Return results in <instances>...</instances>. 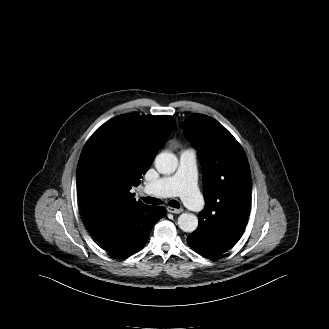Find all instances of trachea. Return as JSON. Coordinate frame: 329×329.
<instances>
[{
	"label": "trachea",
	"mask_w": 329,
	"mask_h": 329,
	"mask_svg": "<svg viewBox=\"0 0 329 329\" xmlns=\"http://www.w3.org/2000/svg\"><path fill=\"white\" fill-rule=\"evenodd\" d=\"M142 200L145 202V203H148V204H155V205H159V204H162V201L159 200V199H156V198H153V197H143ZM169 205L173 208H179L180 207V204L178 201L176 200H171L169 202Z\"/></svg>",
	"instance_id": "obj_1"
}]
</instances>
